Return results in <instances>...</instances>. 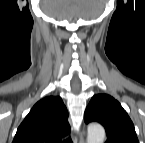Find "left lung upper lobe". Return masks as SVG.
I'll return each mask as SVG.
<instances>
[{
	"mask_svg": "<svg viewBox=\"0 0 145 143\" xmlns=\"http://www.w3.org/2000/svg\"><path fill=\"white\" fill-rule=\"evenodd\" d=\"M84 120L86 123L96 121L105 127L106 143H139L130 117L110 95L93 96L86 108Z\"/></svg>",
	"mask_w": 145,
	"mask_h": 143,
	"instance_id": "obj_1",
	"label": "left lung upper lobe"
}]
</instances>
